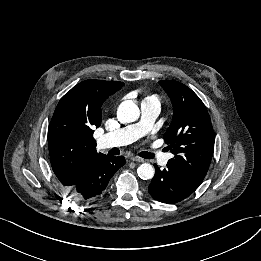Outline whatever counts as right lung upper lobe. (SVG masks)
<instances>
[{
    "label": "right lung upper lobe",
    "instance_id": "right-lung-upper-lobe-1",
    "mask_svg": "<svg viewBox=\"0 0 261 261\" xmlns=\"http://www.w3.org/2000/svg\"><path fill=\"white\" fill-rule=\"evenodd\" d=\"M123 85L85 80L60 99L49 125L48 144L51 166L63 186L74 185L99 155L93 129L101 125L103 102Z\"/></svg>",
    "mask_w": 261,
    "mask_h": 261
}]
</instances>
